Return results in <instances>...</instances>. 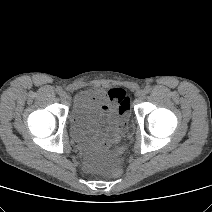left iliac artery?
I'll use <instances>...</instances> for the list:
<instances>
[{
  "label": "left iliac artery",
  "instance_id": "44dca946",
  "mask_svg": "<svg viewBox=\"0 0 212 212\" xmlns=\"http://www.w3.org/2000/svg\"><path fill=\"white\" fill-rule=\"evenodd\" d=\"M145 91H146V93H150L151 92V87L150 86H146L145 87Z\"/></svg>",
  "mask_w": 212,
  "mask_h": 212
}]
</instances>
